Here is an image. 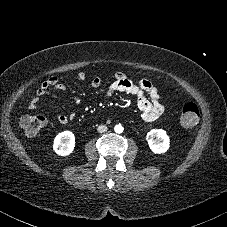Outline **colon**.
I'll list each match as a JSON object with an SVG mask.
<instances>
[{
    "instance_id": "1",
    "label": "colon",
    "mask_w": 227,
    "mask_h": 227,
    "mask_svg": "<svg viewBox=\"0 0 227 227\" xmlns=\"http://www.w3.org/2000/svg\"><path fill=\"white\" fill-rule=\"evenodd\" d=\"M199 120V110L196 104L187 103L183 106L180 115V124L184 128L194 127ZM46 118L41 115L26 114L20 118V126L29 135H37L46 124Z\"/></svg>"
}]
</instances>
